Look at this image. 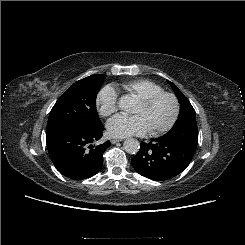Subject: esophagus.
<instances>
[{"mask_svg":"<svg viewBox=\"0 0 245 245\" xmlns=\"http://www.w3.org/2000/svg\"><path fill=\"white\" fill-rule=\"evenodd\" d=\"M119 141H122V139H112V140H111V143H112V144H115L116 142H119Z\"/></svg>","mask_w":245,"mask_h":245,"instance_id":"esophagus-1","label":"esophagus"}]
</instances>
